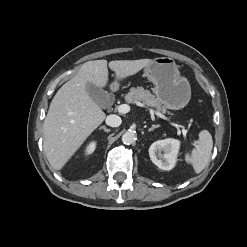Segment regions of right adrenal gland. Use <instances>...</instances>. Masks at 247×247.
I'll use <instances>...</instances> for the list:
<instances>
[{
	"label": "right adrenal gland",
	"mask_w": 247,
	"mask_h": 247,
	"mask_svg": "<svg viewBox=\"0 0 247 247\" xmlns=\"http://www.w3.org/2000/svg\"><path fill=\"white\" fill-rule=\"evenodd\" d=\"M99 130H104L105 132L109 133L110 129L106 128V126H101Z\"/></svg>",
	"instance_id": "right-adrenal-gland-1"
}]
</instances>
